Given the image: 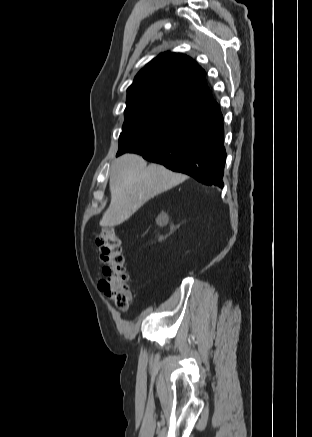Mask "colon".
Listing matches in <instances>:
<instances>
[{"mask_svg":"<svg viewBox=\"0 0 312 437\" xmlns=\"http://www.w3.org/2000/svg\"><path fill=\"white\" fill-rule=\"evenodd\" d=\"M95 242L104 263L100 289L119 309L125 310L129 306L131 292L120 238L113 228H104L95 236Z\"/></svg>","mask_w":312,"mask_h":437,"instance_id":"obj_1","label":"colon"}]
</instances>
